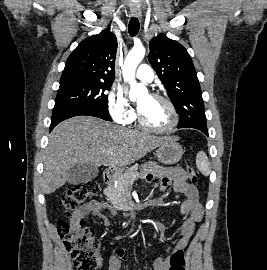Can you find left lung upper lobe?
<instances>
[{"label":"left lung upper lobe","instance_id":"5c2ea615","mask_svg":"<svg viewBox=\"0 0 267 270\" xmlns=\"http://www.w3.org/2000/svg\"><path fill=\"white\" fill-rule=\"evenodd\" d=\"M148 60L179 114L177 127H207L199 80L187 50L177 41L158 35L150 42Z\"/></svg>","mask_w":267,"mask_h":270}]
</instances>
